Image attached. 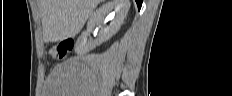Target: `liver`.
I'll return each instance as SVG.
<instances>
[{
  "label": "liver",
  "mask_w": 232,
  "mask_h": 96,
  "mask_svg": "<svg viewBox=\"0 0 232 96\" xmlns=\"http://www.w3.org/2000/svg\"><path fill=\"white\" fill-rule=\"evenodd\" d=\"M102 0H38L44 42L75 37Z\"/></svg>",
  "instance_id": "obj_1"
}]
</instances>
